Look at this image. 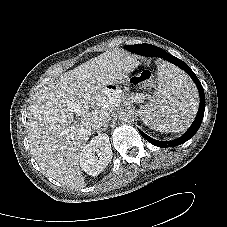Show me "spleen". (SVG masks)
<instances>
[{
  "mask_svg": "<svg viewBox=\"0 0 227 227\" xmlns=\"http://www.w3.org/2000/svg\"><path fill=\"white\" fill-rule=\"evenodd\" d=\"M158 89L139 115L146 126L161 132L187 129L197 112L198 94L188 76L163 63L158 66Z\"/></svg>",
  "mask_w": 227,
  "mask_h": 227,
  "instance_id": "obj_1",
  "label": "spleen"
}]
</instances>
